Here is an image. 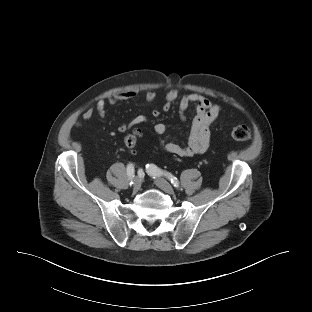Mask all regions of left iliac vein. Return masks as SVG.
Returning <instances> with one entry per match:
<instances>
[{
    "label": "left iliac vein",
    "instance_id": "1",
    "mask_svg": "<svg viewBox=\"0 0 312 312\" xmlns=\"http://www.w3.org/2000/svg\"><path fill=\"white\" fill-rule=\"evenodd\" d=\"M155 184L161 190H163L164 192H166L170 195H173L175 193L173 187L163 178L157 177L155 179Z\"/></svg>",
    "mask_w": 312,
    "mask_h": 312
}]
</instances>
